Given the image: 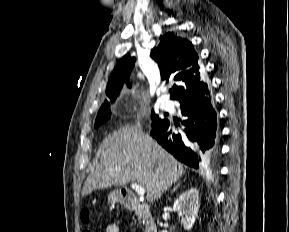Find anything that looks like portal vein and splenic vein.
Returning <instances> with one entry per match:
<instances>
[{"instance_id":"portal-vein-and-splenic-vein-1","label":"portal vein and splenic vein","mask_w":289,"mask_h":232,"mask_svg":"<svg viewBox=\"0 0 289 232\" xmlns=\"http://www.w3.org/2000/svg\"><path fill=\"white\" fill-rule=\"evenodd\" d=\"M130 186L132 189H134L137 192V194L139 196H144V194H145V188L144 187L138 185L137 183H132Z\"/></svg>"}]
</instances>
